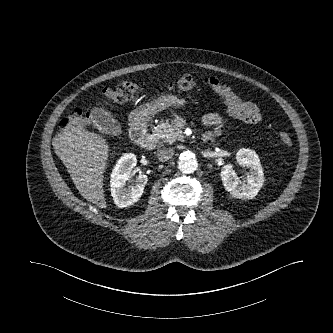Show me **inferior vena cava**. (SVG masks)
Segmentation results:
<instances>
[{
  "label": "inferior vena cava",
  "instance_id": "inferior-vena-cava-1",
  "mask_svg": "<svg viewBox=\"0 0 333 333\" xmlns=\"http://www.w3.org/2000/svg\"><path fill=\"white\" fill-rule=\"evenodd\" d=\"M174 155V150L172 148H161L157 151V157L159 161L165 162L171 159Z\"/></svg>",
  "mask_w": 333,
  "mask_h": 333
}]
</instances>
